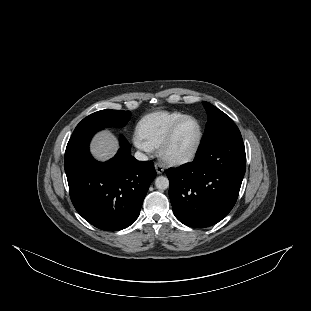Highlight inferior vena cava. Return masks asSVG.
I'll return each mask as SVG.
<instances>
[{"label":"inferior vena cava","mask_w":311,"mask_h":311,"mask_svg":"<svg viewBox=\"0 0 311 311\" xmlns=\"http://www.w3.org/2000/svg\"><path fill=\"white\" fill-rule=\"evenodd\" d=\"M134 157L139 161H148V157L141 152H136Z\"/></svg>","instance_id":"obj_1"}]
</instances>
